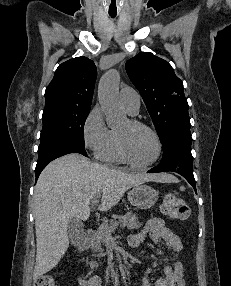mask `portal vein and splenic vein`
Wrapping results in <instances>:
<instances>
[{
  "instance_id": "portal-vein-and-splenic-vein-1",
  "label": "portal vein and splenic vein",
  "mask_w": 231,
  "mask_h": 286,
  "mask_svg": "<svg viewBox=\"0 0 231 286\" xmlns=\"http://www.w3.org/2000/svg\"><path fill=\"white\" fill-rule=\"evenodd\" d=\"M98 202H99V200H98V196H97L92 200V206H96L98 204ZM117 225H118V223H116L113 228L115 229L117 227Z\"/></svg>"
}]
</instances>
